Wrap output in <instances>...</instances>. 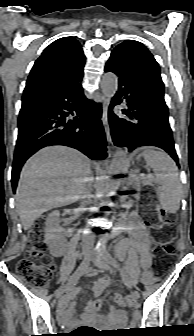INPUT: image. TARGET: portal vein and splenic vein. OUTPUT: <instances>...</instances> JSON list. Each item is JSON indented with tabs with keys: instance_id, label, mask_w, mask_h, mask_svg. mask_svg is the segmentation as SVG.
<instances>
[{
	"instance_id": "18ae733b",
	"label": "portal vein and splenic vein",
	"mask_w": 194,
	"mask_h": 336,
	"mask_svg": "<svg viewBox=\"0 0 194 336\" xmlns=\"http://www.w3.org/2000/svg\"><path fill=\"white\" fill-rule=\"evenodd\" d=\"M145 175L144 174H140L139 177H144ZM149 176H152V175H149ZM137 178V177H136Z\"/></svg>"
}]
</instances>
